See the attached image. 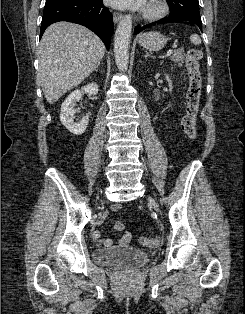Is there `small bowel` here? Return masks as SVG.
I'll list each match as a JSON object with an SVG mask.
<instances>
[{"label": "small bowel", "mask_w": 245, "mask_h": 314, "mask_svg": "<svg viewBox=\"0 0 245 314\" xmlns=\"http://www.w3.org/2000/svg\"><path fill=\"white\" fill-rule=\"evenodd\" d=\"M113 209H118V206H114ZM106 217H107V214H104V215H103V218H106ZM115 228H116L118 231H123V230H124V227L121 228V223H117V224L115 225ZM93 235H94V237H95L96 239H98L99 242H100L102 245H104V246H110V245L112 244V241H111L110 239H105V238H103V237L101 236V233H100L98 230L94 231V232H93ZM131 239H132V234H131L130 232H128V231H125V232L123 233V235H122V236L120 237V239H119V244H120V245H127V244L130 243Z\"/></svg>", "instance_id": "obj_1"}]
</instances>
